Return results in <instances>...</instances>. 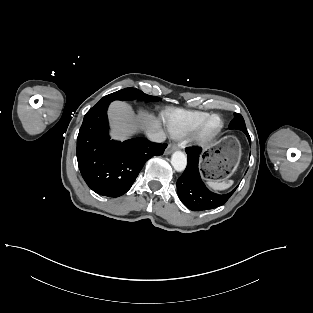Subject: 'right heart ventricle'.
<instances>
[{
	"label": "right heart ventricle",
	"instance_id": "right-heart-ventricle-1",
	"mask_svg": "<svg viewBox=\"0 0 313 313\" xmlns=\"http://www.w3.org/2000/svg\"><path fill=\"white\" fill-rule=\"evenodd\" d=\"M209 115L206 112L171 110L166 112L165 122L172 137L183 138L192 133Z\"/></svg>",
	"mask_w": 313,
	"mask_h": 313
}]
</instances>
